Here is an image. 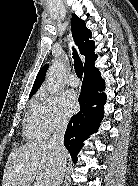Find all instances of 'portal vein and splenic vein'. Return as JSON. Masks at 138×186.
Returning a JSON list of instances; mask_svg holds the SVG:
<instances>
[{
    "label": "portal vein and splenic vein",
    "instance_id": "obj_1",
    "mask_svg": "<svg viewBox=\"0 0 138 186\" xmlns=\"http://www.w3.org/2000/svg\"><path fill=\"white\" fill-rule=\"evenodd\" d=\"M34 186H44V184L41 181H37Z\"/></svg>",
    "mask_w": 138,
    "mask_h": 186
}]
</instances>
